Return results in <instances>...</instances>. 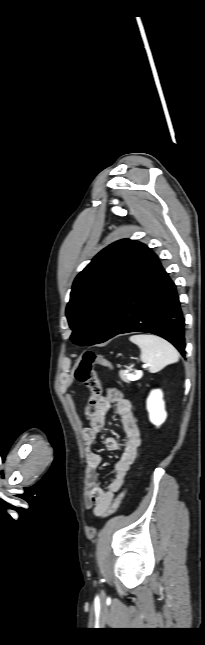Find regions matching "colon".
<instances>
[{
    "instance_id": "5ec220e1",
    "label": "colon",
    "mask_w": 205,
    "mask_h": 645,
    "mask_svg": "<svg viewBox=\"0 0 205 645\" xmlns=\"http://www.w3.org/2000/svg\"><path fill=\"white\" fill-rule=\"evenodd\" d=\"M96 364L112 368V363L109 360L94 352L88 351L83 354L75 369L76 379L85 384L91 392V396L85 408V415L87 417L91 416L92 409L97 404L101 394V383L94 370V365ZM126 492L127 488L119 492L108 509L102 514V518H107L118 510Z\"/></svg>"
}]
</instances>
